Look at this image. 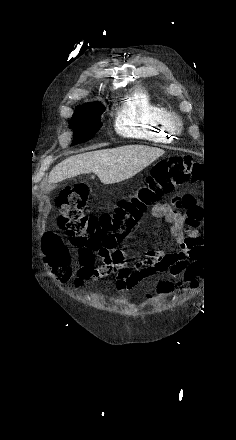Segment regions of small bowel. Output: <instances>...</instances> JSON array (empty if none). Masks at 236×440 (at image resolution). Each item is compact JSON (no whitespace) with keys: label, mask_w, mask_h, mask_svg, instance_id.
<instances>
[{"label":"small bowel","mask_w":236,"mask_h":440,"mask_svg":"<svg viewBox=\"0 0 236 440\" xmlns=\"http://www.w3.org/2000/svg\"><path fill=\"white\" fill-rule=\"evenodd\" d=\"M156 218H163L171 224V235L176 251H150L146 258L138 261L135 268L125 262L123 249L92 250L80 246L77 249L80 268L77 271L75 287L84 281H99L111 274H116L115 288L118 292L134 290L142 281L157 273L169 272L179 278L178 284L197 286V279L201 273V256L196 250L198 234L194 230L186 229V221L197 222L202 210L196 205V198L192 194L176 195L171 203H156L152 208ZM58 253L63 262L68 265L70 253L65 246H60ZM96 255L102 263L96 267ZM68 274V273H67ZM66 274V275H67Z\"/></svg>","instance_id":"1"}]
</instances>
